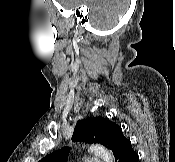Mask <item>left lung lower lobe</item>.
I'll use <instances>...</instances> for the list:
<instances>
[{"mask_svg":"<svg viewBox=\"0 0 175 162\" xmlns=\"http://www.w3.org/2000/svg\"><path fill=\"white\" fill-rule=\"evenodd\" d=\"M116 162H138V154L133 150L131 142L124 135L113 149Z\"/></svg>","mask_w":175,"mask_h":162,"instance_id":"0a47b994","label":"left lung lower lobe"}]
</instances>
